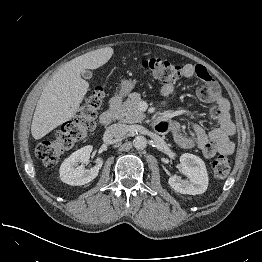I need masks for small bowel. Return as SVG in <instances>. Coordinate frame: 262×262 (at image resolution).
Instances as JSON below:
<instances>
[{"label": "small bowel", "mask_w": 262, "mask_h": 262, "mask_svg": "<svg viewBox=\"0 0 262 262\" xmlns=\"http://www.w3.org/2000/svg\"><path fill=\"white\" fill-rule=\"evenodd\" d=\"M184 77L190 78L196 75L201 80L198 97L208 103H213L214 108L210 111L211 119L218 126L205 130L196 122L191 124L193 136H185L181 125L172 120L173 114L163 112L155 123V128L160 133H169L175 142L185 148H199L206 158H212L217 153H230L233 150L232 135L234 125L229 115V102L222 95L218 84L211 77L207 69L201 65L185 64L182 66ZM174 91L173 85H164L161 88L163 96H169Z\"/></svg>", "instance_id": "1"}]
</instances>
